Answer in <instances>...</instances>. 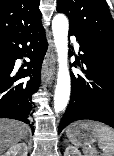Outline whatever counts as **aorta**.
<instances>
[{"mask_svg": "<svg viewBox=\"0 0 114 156\" xmlns=\"http://www.w3.org/2000/svg\"><path fill=\"white\" fill-rule=\"evenodd\" d=\"M68 19L57 14L52 21L54 43L58 54L59 71L54 95V110L59 113L67 107L70 98V74L68 69Z\"/></svg>", "mask_w": 114, "mask_h": 156, "instance_id": "obj_1", "label": "aorta"}]
</instances>
